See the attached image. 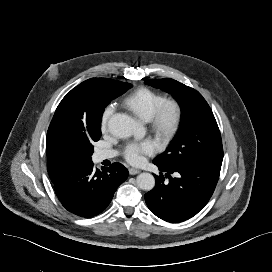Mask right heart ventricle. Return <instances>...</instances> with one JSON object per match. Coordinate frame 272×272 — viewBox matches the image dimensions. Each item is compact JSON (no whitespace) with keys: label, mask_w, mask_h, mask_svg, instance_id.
<instances>
[{"label":"right heart ventricle","mask_w":272,"mask_h":272,"mask_svg":"<svg viewBox=\"0 0 272 272\" xmlns=\"http://www.w3.org/2000/svg\"><path fill=\"white\" fill-rule=\"evenodd\" d=\"M164 96L149 88H139L124 101L125 105L138 117L149 121Z\"/></svg>","instance_id":"1"}]
</instances>
